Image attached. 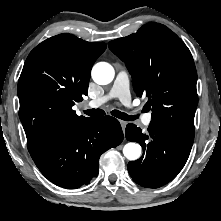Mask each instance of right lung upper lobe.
Wrapping results in <instances>:
<instances>
[{
  "mask_svg": "<svg viewBox=\"0 0 221 221\" xmlns=\"http://www.w3.org/2000/svg\"><path fill=\"white\" fill-rule=\"evenodd\" d=\"M105 49L103 42L59 34L30 52L18 81L19 117L30 153L56 132L88 119L72 106L88 94L91 68Z\"/></svg>",
  "mask_w": 221,
  "mask_h": 221,
  "instance_id": "1",
  "label": "right lung upper lobe"
}]
</instances>
